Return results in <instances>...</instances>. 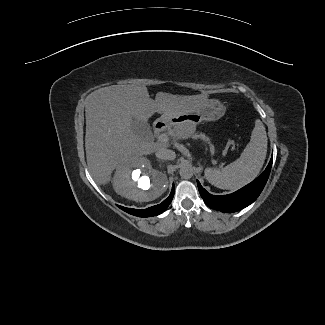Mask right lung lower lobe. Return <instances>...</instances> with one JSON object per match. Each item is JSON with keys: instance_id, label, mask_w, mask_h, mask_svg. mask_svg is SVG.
I'll list each match as a JSON object with an SVG mask.
<instances>
[{"instance_id": "obj_1", "label": "right lung lower lobe", "mask_w": 325, "mask_h": 325, "mask_svg": "<svg viewBox=\"0 0 325 325\" xmlns=\"http://www.w3.org/2000/svg\"><path fill=\"white\" fill-rule=\"evenodd\" d=\"M173 196H174V185L172 187L169 197L166 198L162 203H160L158 205H155V206L149 207L147 209H143V210L126 208V207H122L119 205H118V207H120L125 212L135 215V216H138V217H151V216H156V215L163 213L166 210V208L169 206V204L171 203Z\"/></svg>"}]
</instances>
